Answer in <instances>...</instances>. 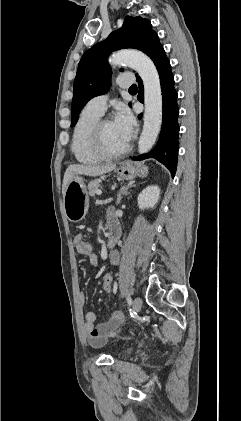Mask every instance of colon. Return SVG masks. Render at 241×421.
<instances>
[{"label":"colon","instance_id":"obj_1","mask_svg":"<svg viewBox=\"0 0 241 421\" xmlns=\"http://www.w3.org/2000/svg\"><path fill=\"white\" fill-rule=\"evenodd\" d=\"M92 250H93L92 243L87 241V240H83L77 246V251L80 254H83V255L92 252ZM101 282H102L103 291L107 294H110L112 292V289H113V277H112V275L109 272L104 273L102 275Z\"/></svg>","mask_w":241,"mask_h":421}]
</instances>
